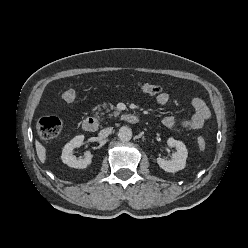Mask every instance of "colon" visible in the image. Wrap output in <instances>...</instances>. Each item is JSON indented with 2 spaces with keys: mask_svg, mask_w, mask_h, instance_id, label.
I'll use <instances>...</instances> for the list:
<instances>
[{
  "mask_svg": "<svg viewBox=\"0 0 248 248\" xmlns=\"http://www.w3.org/2000/svg\"><path fill=\"white\" fill-rule=\"evenodd\" d=\"M139 89L147 95H158L161 93V87L151 83H141ZM79 97V93L74 89H67L62 93V99L67 103L75 102ZM63 126L61 118L56 116L43 117L37 124V132L41 139L52 140L60 133ZM197 146L199 149H204L206 141L203 137L197 138Z\"/></svg>",
  "mask_w": 248,
  "mask_h": 248,
  "instance_id": "1",
  "label": "colon"
}]
</instances>
